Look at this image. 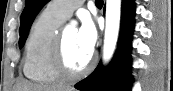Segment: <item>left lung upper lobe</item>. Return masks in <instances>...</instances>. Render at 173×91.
<instances>
[{"mask_svg": "<svg viewBox=\"0 0 173 91\" xmlns=\"http://www.w3.org/2000/svg\"><path fill=\"white\" fill-rule=\"evenodd\" d=\"M49 0H26L25 8L21 15L20 20V40L19 47L22 48L24 42L27 38L28 32L32 25L33 20L40 11V9L48 2Z\"/></svg>", "mask_w": 173, "mask_h": 91, "instance_id": "obj_1", "label": "left lung upper lobe"}]
</instances>
